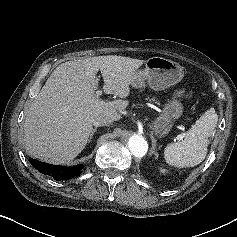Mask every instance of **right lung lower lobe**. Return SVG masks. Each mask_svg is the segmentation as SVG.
<instances>
[{"label":"right lung lower lobe","mask_w":237,"mask_h":237,"mask_svg":"<svg viewBox=\"0 0 237 237\" xmlns=\"http://www.w3.org/2000/svg\"><path fill=\"white\" fill-rule=\"evenodd\" d=\"M32 166L42 174L52 176L55 180H67L79 176L83 172V166L77 165L74 167H64L47 164L30 158Z\"/></svg>","instance_id":"right-lung-lower-lobe-1"}]
</instances>
